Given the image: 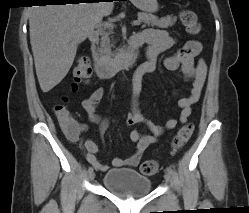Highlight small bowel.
I'll return each instance as SVG.
<instances>
[{
    "instance_id": "small-bowel-1",
    "label": "small bowel",
    "mask_w": 249,
    "mask_h": 213,
    "mask_svg": "<svg viewBox=\"0 0 249 213\" xmlns=\"http://www.w3.org/2000/svg\"><path fill=\"white\" fill-rule=\"evenodd\" d=\"M139 46L147 45V60L141 64L135 72V82L145 74L154 73L157 69L158 56L172 48L176 42L175 38L169 35L166 30L146 28L136 35ZM202 45L197 40H188L175 54L165 58L164 66L169 71L181 70L182 73L190 81V93L187 97L179 100V107L181 109L179 122L184 124L188 121L191 115L192 106L199 100L201 91L203 89L206 76L207 65L202 58L197 59L201 53ZM136 73H140V77L136 78ZM104 88L99 87L95 89L82 102L84 111L88 114L90 119L99 125L100 132L103 134L108 126V119L104 116L95 114V108L104 96ZM69 117L66 119H59L62 129L66 132L71 141H77L80 134L85 130V125L76 121L68 110ZM125 123L127 126L143 125L150 134H143L138 130L130 132V140L135 144L134 153L126 159L114 158L112 165L115 168L123 166L135 167L140 162L147 147L156 143L158 138L167 130H172L177 126V119L169 118L164 126L155 125L146 120L139 111L137 96L134 95L132 112L127 116ZM86 160L99 171H107L108 166L100 163L96 158L98 152V145L92 139H87L84 142Z\"/></svg>"
}]
</instances>
